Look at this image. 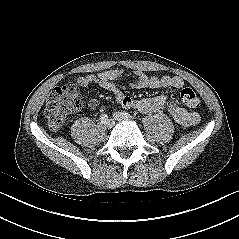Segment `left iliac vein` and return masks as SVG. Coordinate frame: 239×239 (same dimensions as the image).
I'll list each match as a JSON object with an SVG mask.
<instances>
[{"label":"left iliac vein","mask_w":239,"mask_h":239,"mask_svg":"<svg viewBox=\"0 0 239 239\" xmlns=\"http://www.w3.org/2000/svg\"><path fill=\"white\" fill-rule=\"evenodd\" d=\"M113 117L117 121H130L129 117L124 116L123 112L119 111L114 112Z\"/></svg>","instance_id":"1"}]
</instances>
